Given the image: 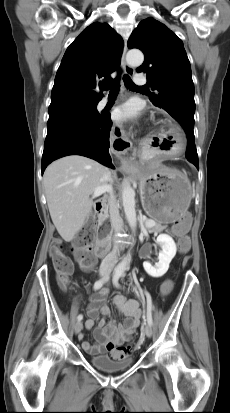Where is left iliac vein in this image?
<instances>
[{"label": "left iliac vein", "instance_id": "4c4485c4", "mask_svg": "<svg viewBox=\"0 0 230 413\" xmlns=\"http://www.w3.org/2000/svg\"><path fill=\"white\" fill-rule=\"evenodd\" d=\"M144 333L147 337H151L153 334L152 328L149 324L144 325Z\"/></svg>", "mask_w": 230, "mask_h": 413}]
</instances>
